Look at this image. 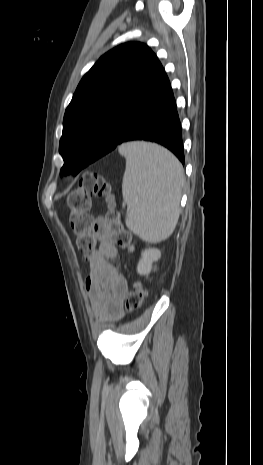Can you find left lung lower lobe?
Wrapping results in <instances>:
<instances>
[{
  "label": "left lung lower lobe",
  "instance_id": "1",
  "mask_svg": "<svg viewBox=\"0 0 263 465\" xmlns=\"http://www.w3.org/2000/svg\"><path fill=\"white\" fill-rule=\"evenodd\" d=\"M145 140L163 145L184 164L182 132L169 79L159 61L149 70L135 97L121 106L113 126L90 159L70 155L64 159L61 174L80 170L114 150L118 145Z\"/></svg>",
  "mask_w": 263,
  "mask_h": 465
}]
</instances>
